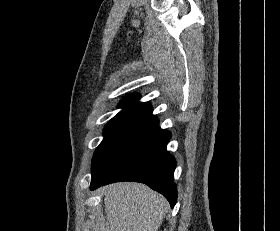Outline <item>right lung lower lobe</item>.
Segmentation results:
<instances>
[{"mask_svg": "<svg viewBox=\"0 0 280 231\" xmlns=\"http://www.w3.org/2000/svg\"><path fill=\"white\" fill-rule=\"evenodd\" d=\"M170 138L157 118L126 130L92 159L90 189L118 181L142 182L164 195L173 208L176 161L166 150Z\"/></svg>", "mask_w": 280, "mask_h": 231, "instance_id": "obj_1", "label": "right lung lower lobe"}]
</instances>
